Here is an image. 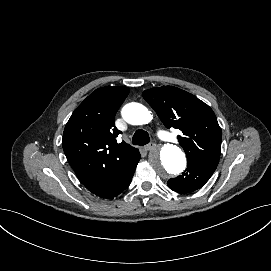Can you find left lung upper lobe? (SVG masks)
I'll list each match as a JSON object with an SVG mask.
<instances>
[{
    "instance_id": "1",
    "label": "left lung upper lobe",
    "mask_w": 271,
    "mask_h": 271,
    "mask_svg": "<svg viewBox=\"0 0 271 271\" xmlns=\"http://www.w3.org/2000/svg\"><path fill=\"white\" fill-rule=\"evenodd\" d=\"M167 128H177L188 162L211 161L218 165L222 133L213 110L196 96L173 86L143 92Z\"/></svg>"
}]
</instances>
